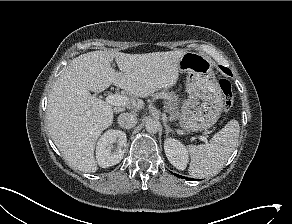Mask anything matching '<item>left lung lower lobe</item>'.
<instances>
[{"instance_id":"left-lung-lower-lobe-1","label":"left lung lower lobe","mask_w":292,"mask_h":224,"mask_svg":"<svg viewBox=\"0 0 292 224\" xmlns=\"http://www.w3.org/2000/svg\"><path fill=\"white\" fill-rule=\"evenodd\" d=\"M177 177H180V178H183V179H187V180H193L191 178H188V177H184V176H181V175H176Z\"/></svg>"}]
</instances>
